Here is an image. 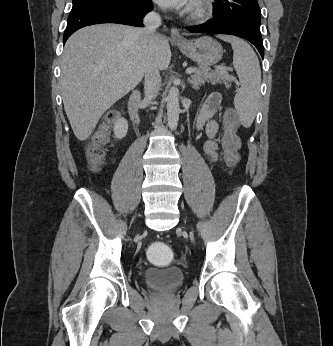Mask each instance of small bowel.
Here are the masks:
<instances>
[{
	"mask_svg": "<svg viewBox=\"0 0 333 346\" xmlns=\"http://www.w3.org/2000/svg\"><path fill=\"white\" fill-rule=\"evenodd\" d=\"M221 95L217 92L208 95L202 102L199 110L196 124L198 128L205 127L207 140L203 144L204 155L209 161L217 159L218 144L216 134L218 132V123L212 119L219 108Z\"/></svg>",
	"mask_w": 333,
	"mask_h": 346,
	"instance_id": "small-bowel-1",
	"label": "small bowel"
}]
</instances>
